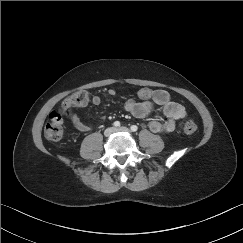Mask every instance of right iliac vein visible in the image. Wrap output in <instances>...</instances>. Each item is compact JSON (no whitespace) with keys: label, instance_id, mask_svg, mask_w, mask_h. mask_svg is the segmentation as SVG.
Listing matches in <instances>:
<instances>
[{"label":"right iliac vein","instance_id":"right-iliac-vein-1","mask_svg":"<svg viewBox=\"0 0 243 243\" xmlns=\"http://www.w3.org/2000/svg\"><path fill=\"white\" fill-rule=\"evenodd\" d=\"M114 132V128L109 127L105 130L104 134L105 136H110Z\"/></svg>","mask_w":243,"mask_h":243}]
</instances>
